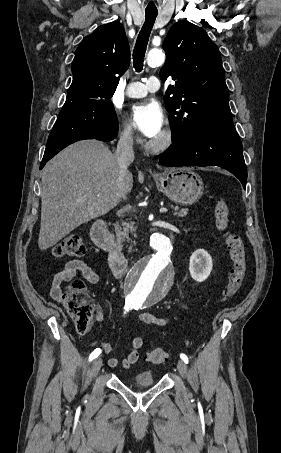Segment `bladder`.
Segmentation results:
<instances>
[{
    "instance_id": "obj_1",
    "label": "bladder",
    "mask_w": 281,
    "mask_h": 453,
    "mask_svg": "<svg viewBox=\"0 0 281 453\" xmlns=\"http://www.w3.org/2000/svg\"><path fill=\"white\" fill-rule=\"evenodd\" d=\"M133 382L138 386H150L154 383V377L150 372H142L133 378Z\"/></svg>"
}]
</instances>
